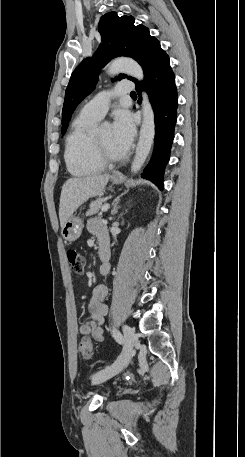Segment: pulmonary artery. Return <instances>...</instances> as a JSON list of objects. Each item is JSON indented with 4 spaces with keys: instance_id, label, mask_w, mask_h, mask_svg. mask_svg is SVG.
<instances>
[{
    "instance_id": "pulmonary-artery-1",
    "label": "pulmonary artery",
    "mask_w": 245,
    "mask_h": 457,
    "mask_svg": "<svg viewBox=\"0 0 245 457\" xmlns=\"http://www.w3.org/2000/svg\"><path fill=\"white\" fill-rule=\"evenodd\" d=\"M137 85L136 80H117L116 86H107L105 93H97L96 100L85 103L80 110V115L96 120L102 118L111 100L118 99L120 95H132Z\"/></svg>"
}]
</instances>
